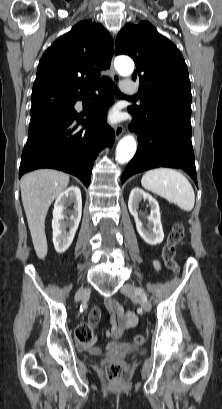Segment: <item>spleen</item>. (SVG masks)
Returning a JSON list of instances; mask_svg holds the SVG:
<instances>
[{
	"label": "spleen",
	"mask_w": 222,
	"mask_h": 409,
	"mask_svg": "<svg viewBox=\"0 0 222 409\" xmlns=\"http://www.w3.org/2000/svg\"><path fill=\"white\" fill-rule=\"evenodd\" d=\"M141 184L145 189L176 204L186 212L194 207V190L188 179L177 170L170 168L149 170L143 175Z\"/></svg>",
	"instance_id": "1"
}]
</instances>
